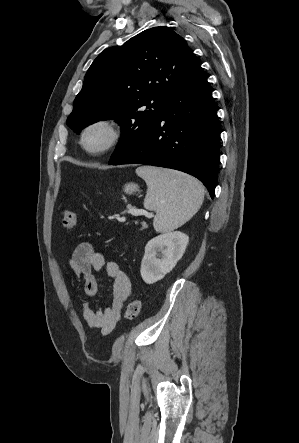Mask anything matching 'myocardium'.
<instances>
[{
  "label": "myocardium",
  "mask_w": 299,
  "mask_h": 443,
  "mask_svg": "<svg viewBox=\"0 0 299 443\" xmlns=\"http://www.w3.org/2000/svg\"><path fill=\"white\" fill-rule=\"evenodd\" d=\"M98 127L105 128L109 133L107 142L100 148L92 149L87 146L86 139L88 133ZM125 134L124 127L121 123L113 118H98L88 123L82 130L80 137V145L82 149L91 156H101L115 149L123 140Z\"/></svg>",
  "instance_id": "f54148a6"
}]
</instances>
